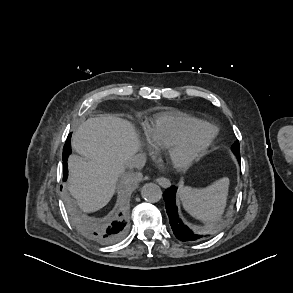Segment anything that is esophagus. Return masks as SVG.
Returning a JSON list of instances; mask_svg holds the SVG:
<instances>
[{
  "label": "esophagus",
  "mask_w": 293,
  "mask_h": 293,
  "mask_svg": "<svg viewBox=\"0 0 293 293\" xmlns=\"http://www.w3.org/2000/svg\"><path fill=\"white\" fill-rule=\"evenodd\" d=\"M156 181L162 187H168L170 185V181L164 177H159L156 179Z\"/></svg>",
  "instance_id": "obj_1"
}]
</instances>
